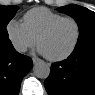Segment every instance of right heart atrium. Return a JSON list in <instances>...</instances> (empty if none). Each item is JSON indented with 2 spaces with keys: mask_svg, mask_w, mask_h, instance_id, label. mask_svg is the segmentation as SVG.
<instances>
[{
  "mask_svg": "<svg viewBox=\"0 0 95 95\" xmlns=\"http://www.w3.org/2000/svg\"><path fill=\"white\" fill-rule=\"evenodd\" d=\"M6 33L15 50L20 53L26 52L36 44V39L30 35L24 24L15 19L7 23Z\"/></svg>",
  "mask_w": 95,
  "mask_h": 95,
  "instance_id": "right-heart-atrium-1",
  "label": "right heart atrium"
}]
</instances>
